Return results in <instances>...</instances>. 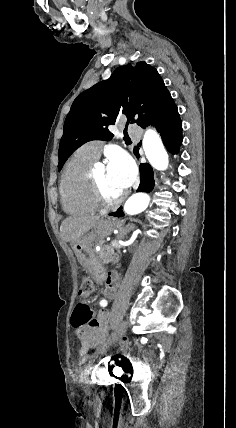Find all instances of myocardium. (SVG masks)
<instances>
[{
    "mask_svg": "<svg viewBox=\"0 0 236 428\" xmlns=\"http://www.w3.org/2000/svg\"><path fill=\"white\" fill-rule=\"evenodd\" d=\"M90 182H91V190L92 195L95 199V201L101 206V207H112L122 204L125 199L127 198L128 192L125 191L122 195H120L117 198H111L109 197L102 185L99 179L95 176V174L90 175Z\"/></svg>",
    "mask_w": 236,
    "mask_h": 428,
    "instance_id": "f54148a6",
    "label": "myocardium"
}]
</instances>
